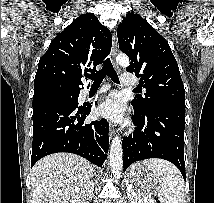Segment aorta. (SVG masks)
<instances>
[{
  "label": "aorta",
  "instance_id": "762f6f07",
  "mask_svg": "<svg viewBox=\"0 0 214 203\" xmlns=\"http://www.w3.org/2000/svg\"><path fill=\"white\" fill-rule=\"evenodd\" d=\"M116 62L118 65L122 67H128L130 64L129 58L125 54H119L116 57ZM109 158H110L111 173L113 175V178L117 182L121 177L122 169H123L122 142H121V138L118 135H116L112 140Z\"/></svg>",
  "mask_w": 214,
  "mask_h": 203
}]
</instances>
